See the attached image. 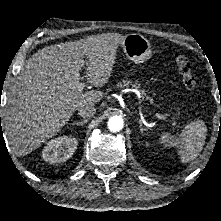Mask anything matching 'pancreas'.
<instances>
[{"mask_svg": "<svg viewBox=\"0 0 221 221\" xmlns=\"http://www.w3.org/2000/svg\"><path fill=\"white\" fill-rule=\"evenodd\" d=\"M132 85V87L136 88V89H141L140 84H138L137 82H132V81H128V80H122L118 83V87L123 88L126 86ZM141 93L146 95V91L144 89H141Z\"/></svg>", "mask_w": 221, "mask_h": 221, "instance_id": "pancreas-1", "label": "pancreas"}]
</instances>
